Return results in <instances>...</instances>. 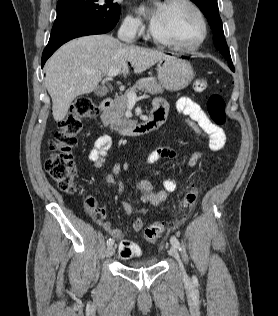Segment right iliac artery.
Returning <instances> with one entry per match:
<instances>
[{"instance_id":"1","label":"right iliac artery","mask_w":278,"mask_h":316,"mask_svg":"<svg viewBox=\"0 0 278 316\" xmlns=\"http://www.w3.org/2000/svg\"><path fill=\"white\" fill-rule=\"evenodd\" d=\"M114 244V240L112 238H109L107 240V245L110 246V245H113Z\"/></svg>"}]
</instances>
